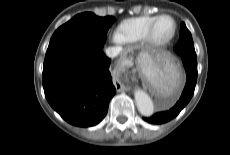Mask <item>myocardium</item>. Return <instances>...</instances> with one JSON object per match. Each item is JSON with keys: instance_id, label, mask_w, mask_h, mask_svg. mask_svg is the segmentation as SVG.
I'll return each instance as SVG.
<instances>
[{"instance_id": "f54148a6", "label": "myocardium", "mask_w": 230, "mask_h": 155, "mask_svg": "<svg viewBox=\"0 0 230 155\" xmlns=\"http://www.w3.org/2000/svg\"><path fill=\"white\" fill-rule=\"evenodd\" d=\"M165 18L170 19L172 21L173 28H172V31L169 34V36H167L164 39H159L155 35V29H156L157 24L162 19H165ZM176 30H177V25H176V21L174 20V18L170 15L162 14V15L157 16L155 18V20L151 23V25L149 26V28L146 32L144 39L147 43H149L150 45H152L154 47H164V46L168 45L173 40V38L175 37V34H176Z\"/></svg>"}]
</instances>
